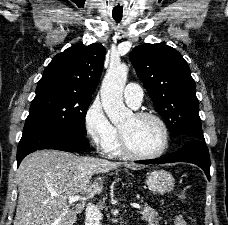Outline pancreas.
I'll list each match as a JSON object with an SVG mask.
<instances>
[{"instance_id": "cf45deb5", "label": "pancreas", "mask_w": 228, "mask_h": 225, "mask_svg": "<svg viewBox=\"0 0 228 225\" xmlns=\"http://www.w3.org/2000/svg\"><path fill=\"white\" fill-rule=\"evenodd\" d=\"M144 209L139 211L140 215H142L143 221H147L148 225H159L160 219H157L158 213L155 209H150L148 205H143Z\"/></svg>"}]
</instances>
